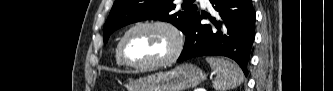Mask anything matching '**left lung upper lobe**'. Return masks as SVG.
Segmentation results:
<instances>
[{
    "label": "left lung upper lobe",
    "instance_id": "obj_1",
    "mask_svg": "<svg viewBox=\"0 0 333 91\" xmlns=\"http://www.w3.org/2000/svg\"><path fill=\"white\" fill-rule=\"evenodd\" d=\"M183 1L182 10L173 13L177 8L173 0H115L103 28L104 43L115 30L147 19L170 22L185 34L197 13V6L193 0Z\"/></svg>",
    "mask_w": 333,
    "mask_h": 91
}]
</instances>
